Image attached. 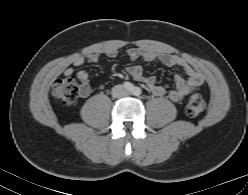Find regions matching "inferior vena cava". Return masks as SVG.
<instances>
[{"mask_svg": "<svg viewBox=\"0 0 248 195\" xmlns=\"http://www.w3.org/2000/svg\"><path fill=\"white\" fill-rule=\"evenodd\" d=\"M128 95V91L122 85H116L112 89V96L114 98H121Z\"/></svg>", "mask_w": 248, "mask_h": 195, "instance_id": "obj_1", "label": "inferior vena cava"}]
</instances>
